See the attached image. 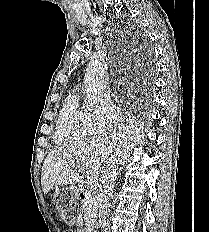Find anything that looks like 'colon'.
Returning a JSON list of instances; mask_svg holds the SVG:
<instances>
[{"instance_id":"obj_1","label":"colon","mask_w":209,"mask_h":232,"mask_svg":"<svg viewBox=\"0 0 209 232\" xmlns=\"http://www.w3.org/2000/svg\"><path fill=\"white\" fill-rule=\"evenodd\" d=\"M62 217H63V219H64L66 222H70V221H71V218H70V215H69V214H62Z\"/></svg>"}]
</instances>
